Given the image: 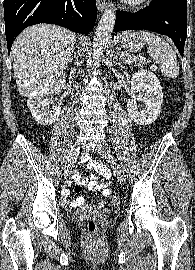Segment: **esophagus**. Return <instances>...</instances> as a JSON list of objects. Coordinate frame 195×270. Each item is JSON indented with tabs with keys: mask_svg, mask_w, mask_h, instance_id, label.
I'll return each mask as SVG.
<instances>
[{
	"mask_svg": "<svg viewBox=\"0 0 195 270\" xmlns=\"http://www.w3.org/2000/svg\"><path fill=\"white\" fill-rule=\"evenodd\" d=\"M97 8L99 11H104L108 7L107 0H96Z\"/></svg>",
	"mask_w": 195,
	"mask_h": 270,
	"instance_id": "obj_1",
	"label": "esophagus"
}]
</instances>
